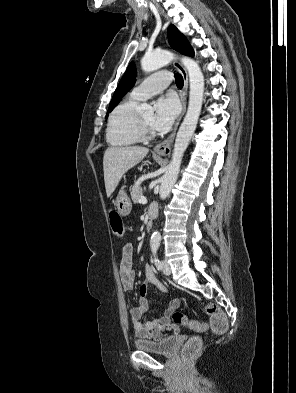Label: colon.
<instances>
[{
    "mask_svg": "<svg viewBox=\"0 0 296 393\" xmlns=\"http://www.w3.org/2000/svg\"><path fill=\"white\" fill-rule=\"evenodd\" d=\"M109 221L112 232L117 237L124 235V225L119 214L112 210L109 213ZM204 313L211 317L210 327L216 334H223L228 328V320L226 314L215 304H208L203 309ZM175 324L185 325L192 330L202 332L207 326L204 323L194 321L182 312L175 311L171 315ZM202 341L199 337L188 340L182 348V357L185 361L193 359L201 350Z\"/></svg>",
    "mask_w": 296,
    "mask_h": 393,
    "instance_id": "obj_1",
    "label": "colon"
}]
</instances>
